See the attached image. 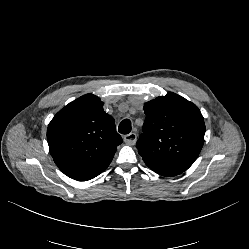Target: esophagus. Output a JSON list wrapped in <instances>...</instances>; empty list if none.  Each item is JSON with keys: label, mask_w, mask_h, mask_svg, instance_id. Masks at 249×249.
I'll use <instances>...</instances> for the list:
<instances>
[{"label": "esophagus", "mask_w": 249, "mask_h": 249, "mask_svg": "<svg viewBox=\"0 0 249 249\" xmlns=\"http://www.w3.org/2000/svg\"><path fill=\"white\" fill-rule=\"evenodd\" d=\"M123 141L128 145H135L137 141V135L135 133H129L123 137Z\"/></svg>", "instance_id": "obj_1"}]
</instances>
